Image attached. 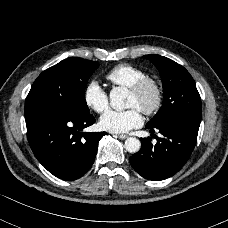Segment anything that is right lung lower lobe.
<instances>
[{
    "mask_svg": "<svg viewBox=\"0 0 228 228\" xmlns=\"http://www.w3.org/2000/svg\"><path fill=\"white\" fill-rule=\"evenodd\" d=\"M29 145L38 161L54 176L76 180L92 166L100 139L106 132H82L95 122L57 105H37L25 109Z\"/></svg>",
    "mask_w": 228,
    "mask_h": 228,
    "instance_id": "obj_1",
    "label": "right lung lower lobe"
}]
</instances>
